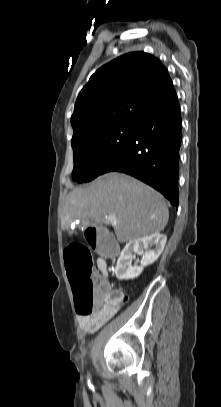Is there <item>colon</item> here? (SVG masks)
Returning <instances> with one entry per match:
<instances>
[{
	"instance_id": "1",
	"label": "colon",
	"mask_w": 221,
	"mask_h": 407,
	"mask_svg": "<svg viewBox=\"0 0 221 407\" xmlns=\"http://www.w3.org/2000/svg\"><path fill=\"white\" fill-rule=\"evenodd\" d=\"M85 237L87 246L95 249L96 255H105L107 261L115 260L117 243L111 230L99 223L86 225ZM65 264L79 315L113 310L125 302V295H116L99 284L93 273L91 252L85 245L70 244L65 251Z\"/></svg>"
}]
</instances>
